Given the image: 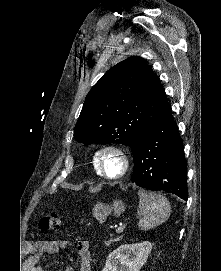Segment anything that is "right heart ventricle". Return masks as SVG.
Returning <instances> with one entry per match:
<instances>
[{
    "label": "right heart ventricle",
    "mask_w": 221,
    "mask_h": 271,
    "mask_svg": "<svg viewBox=\"0 0 221 271\" xmlns=\"http://www.w3.org/2000/svg\"><path fill=\"white\" fill-rule=\"evenodd\" d=\"M88 163H90V167H99V162H97V158H88Z\"/></svg>",
    "instance_id": "obj_1"
}]
</instances>
